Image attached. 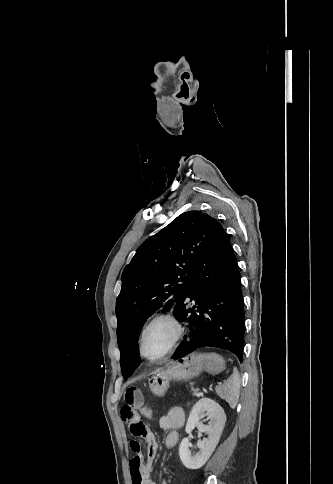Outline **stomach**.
Returning a JSON list of instances; mask_svg holds the SVG:
<instances>
[{"instance_id":"0dacf381","label":"stomach","mask_w":333,"mask_h":484,"mask_svg":"<svg viewBox=\"0 0 333 484\" xmlns=\"http://www.w3.org/2000/svg\"><path fill=\"white\" fill-rule=\"evenodd\" d=\"M225 367L224 359L217 354L191 353L152 371L149 377V388L154 395L163 397L171 380L187 381L204 370L215 375Z\"/></svg>"}]
</instances>
